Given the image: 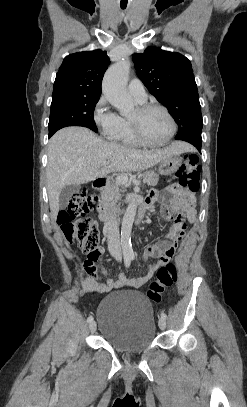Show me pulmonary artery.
Returning <instances> with one entry per match:
<instances>
[{
	"instance_id": "e3ab8cb5",
	"label": "pulmonary artery",
	"mask_w": 247,
	"mask_h": 407,
	"mask_svg": "<svg viewBox=\"0 0 247 407\" xmlns=\"http://www.w3.org/2000/svg\"><path fill=\"white\" fill-rule=\"evenodd\" d=\"M128 92L133 99L139 103H143L147 99L146 89L143 83L138 79H133L129 82Z\"/></svg>"
}]
</instances>
